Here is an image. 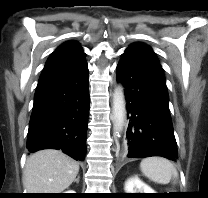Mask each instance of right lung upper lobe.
<instances>
[{
    "instance_id": "obj_1",
    "label": "right lung upper lobe",
    "mask_w": 208,
    "mask_h": 198,
    "mask_svg": "<svg viewBox=\"0 0 208 198\" xmlns=\"http://www.w3.org/2000/svg\"><path fill=\"white\" fill-rule=\"evenodd\" d=\"M84 56L81 46L76 41L60 45L47 60L38 85L73 73L86 63Z\"/></svg>"
}]
</instances>
